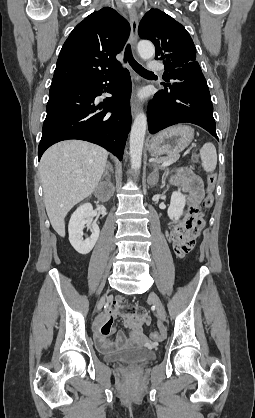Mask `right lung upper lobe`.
I'll list each match as a JSON object with an SVG mask.
<instances>
[{
  "label": "right lung upper lobe",
  "mask_w": 255,
  "mask_h": 418,
  "mask_svg": "<svg viewBox=\"0 0 255 418\" xmlns=\"http://www.w3.org/2000/svg\"><path fill=\"white\" fill-rule=\"evenodd\" d=\"M128 21L104 7L87 16L65 41L52 84L105 77L119 71L116 55L129 37Z\"/></svg>",
  "instance_id": "cb5924a9"
}]
</instances>
